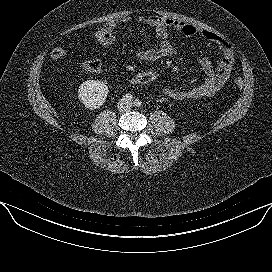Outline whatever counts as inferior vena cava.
Listing matches in <instances>:
<instances>
[{
  "label": "inferior vena cava",
  "instance_id": "inferior-vena-cava-1",
  "mask_svg": "<svg viewBox=\"0 0 272 272\" xmlns=\"http://www.w3.org/2000/svg\"><path fill=\"white\" fill-rule=\"evenodd\" d=\"M132 108V103L128 100H121L118 102V109L120 111H129Z\"/></svg>",
  "mask_w": 272,
  "mask_h": 272
}]
</instances>
